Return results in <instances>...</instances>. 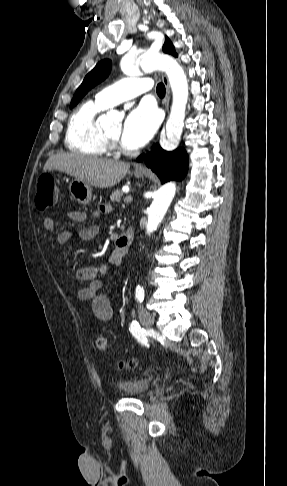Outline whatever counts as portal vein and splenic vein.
<instances>
[{"label":"portal vein and splenic vein","instance_id":"1","mask_svg":"<svg viewBox=\"0 0 287 486\" xmlns=\"http://www.w3.org/2000/svg\"><path fill=\"white\" fill-rule=\"evenodd\" d=\"M132 200H133V198H132V196H130V195H129V196H126V197L124 198V202H125V203H131V202H132Z\"/></svg>","mask_w":287,"mask_h":486}]
</instances>
